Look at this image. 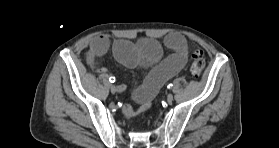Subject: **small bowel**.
<instances>
[{
  "label": "small bowel",
  "instance_id": "c3829d8e",
  "mask_svg": "<svg viewBox=\"0 0 279 148\" xmlns=\"http://www.w3.org/2000/svg\"><path fill=\"white\" fill-rule=\"evenodd\" d=\"M110 44V37L106 34L99 35L91 41L86 62L93 70L100 73L106 72V69L99 65V59L107 53ZM164 44L171 50V54L165 58H163L161 44L153 39H144L136 44L126 40H117L113 43L114 55L120 63L128 68H150L143 84L132 94L138 106L123 107V113L127 117L147 110L153 97L164 83L174 77L187 63L190 47L183 35L170 33L165 36Z\"/></svg>",
  "mask_w": 279,
  "mask_h": 148
}]
</instances>
